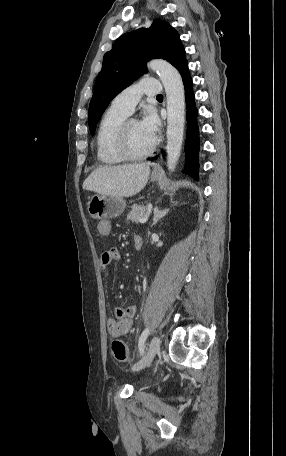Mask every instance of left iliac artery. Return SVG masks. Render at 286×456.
Segmentation results:
<instances>
[{"mask_svg":"<svg viewBox=\"0 0 286 456\" xmlns=\"http://www.w3.org/2000/svg\"><path fill=\"white\" fill-rule=\"evenodd\" d=\"M150 333V329L149 327H147L141 334L140 338H139V344H138V347H139V351H140V354H143L144 352V343L146 341V338L147 336L149 335Z\"/></svg>","mask_w":286,"mask_h":456,"instance_id":"obj_1","label":"left iliac artery"}]
</instances>
